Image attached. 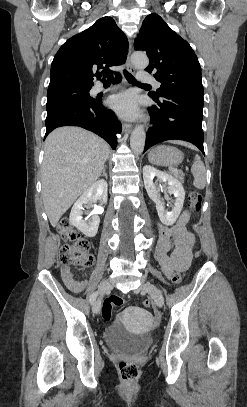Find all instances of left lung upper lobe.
I'll return each mask as SVG.
<instances>
[{
    "mask_svg": "<svg viewBox=\"0 0 247 407\" xmlns=\"http://www.w3.org/2000/svg\"><path fill=\"white\" fill-rule=\"evenodd\" d=\"M134 49L146 51L149 65L145 70L154 72L155 79L161 82L157 93H149L154 100L172 91L203 95L197 56L159 15L150 14L145 18Z\"/></svg>",
    "mask_w": 247,
    "mask_h": 407,
    "instance_id": "1",
    "label": "left lung upper lobe"
}]
</instances>
